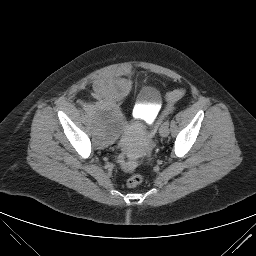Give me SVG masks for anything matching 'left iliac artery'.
Here are the masks:
<instances>
[{"label": "left iliac artery", "instance_id": "44dca946", "mask_svg": "<svg viewBox=\"0 0 256 256\" xmlns=\"http://www.w3.org/2000/svg\"><path fill=\"white\" fill-rule=\"evenodd\" d=\"M166 123H168V124H169V120H166Z\"/></svg>", "mask_w": 256, "mask_h": 256}]
</instances>
